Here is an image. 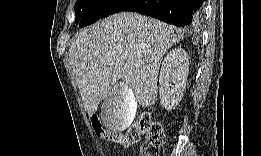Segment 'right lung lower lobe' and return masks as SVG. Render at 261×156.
<instances>
[{
    "label": "right lung lower lobe",
    "mask_w": 261,
    "mask_h": 156,
    "mask_svg": "<svg viewBox=\"0 0 261 156\" xmlns=\"http://www.w3.org/2000/svg\"><path fill=\"white\" fill-rule=\"evenodd\" d=\"M203 0H124L113 13L131 11L178 27H196L202 17Z\"/></svg>",
    "instance_id": "1"
}]
</instances>
